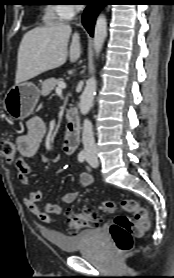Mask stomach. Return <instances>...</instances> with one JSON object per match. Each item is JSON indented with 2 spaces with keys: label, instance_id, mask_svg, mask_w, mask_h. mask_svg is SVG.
<instances>
[{
  "label": "stomach",
  "instance_id": "stomach-1",
  "mask_svg": "<svg viewBox=\"0 0 174 278\" xmlns=\"http://www.w3.org/2000/svg\"><path fill=\"white\" fill-rule=\"evenodd\" d=\"M40 97L38 87L31 82L15 84L6 93L4 108L15 120L27 118L35 109Z\"/></svg>",
  "mask_w": 174,
  "mask_h": 278
}]
</instances>
